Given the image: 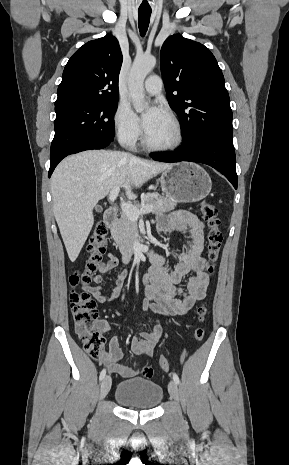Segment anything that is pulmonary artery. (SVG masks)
I'll list each match as a JSON object with an SVG mask.
<instances>
[{
  "mask_svg": "<svg viewBox=\"0 0 289 465\" xmlns=\"http://www.w3.org/2000/svg\"><path fill=\"white\" fill-rule=\"evenodd\" d=\"M145 91L150 95L159 94L162 91V80L158 75L149 76L144 84Z\"/></svg>",
  "mask_w": 289,
  "mask_h": 465,
  "instance_id": "1",
  "label": "pulmonary artery"
}]
</instances>
